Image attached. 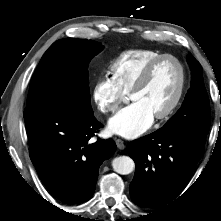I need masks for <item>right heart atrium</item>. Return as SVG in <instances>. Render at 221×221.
Returning <instances> with one entry per match:
<instances>
[{"label":"right heart atrium","mask_w":221,"mask_h":221,"mask_svg":"<svg viewBox=\"0 0 221 221\" xmlns=\"http://www.w3.org/2000/svg\"><path fill=\"white\" fill-rule=\"evenodd\" d=\"M92 98L98 110L103 114L115 113L125 98V93L112 81L103 76L93 85Z\"/></svg>","instance_id":"obj_1"}]
</instances>
